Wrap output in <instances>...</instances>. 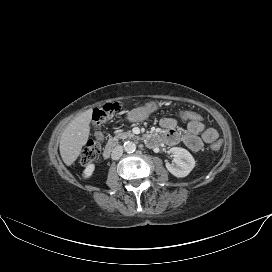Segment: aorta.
<instances>
[{
    "label": "aorta",
    "instance_id": "obj_1",
    "mask_svg": "<svg viewBox=\"0 0 272 272\" xmlns=\"http://www.w3.org/2000/svg\"><path fill=\"white\" fill-rule=\"evenodd\" d=\"M124 150L127 153H133L136 150V144L133 141H126L124 143Z\"/></svg>",
    "mask_w": 272,
    "mask_h": 272
}]
</instances>
